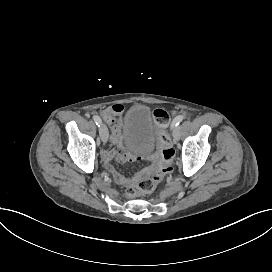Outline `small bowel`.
Here are the masks:
<instances>
[{
  "label": "small bowel",
  "mask_w": 272,
  "mask_h": 272,
  "mask_svg": "<svg viewBox=\"0 0 272 272\" xmlns=\"http://www.w3.org/2000/svg\"><path fill=\"white\" fill-rule=\"evenodd\" d=\"M123 111L124 107L122 105L115 104L107 107L103 113L104 121L110 127L111 137L109 141V147L107 150L103 151L102 158L104 161L105 169L113 175L116 183H118V174L120 172L115 168L113 161L117 162L118 164H125L140 159L138 154L128 153L125 151L122 133ZM143 158H150L153 161L158 159L154 155L147 156L146 154L143 155Z\"/></svg>",
  "instance_id": "c3829d8e"
}]
</instances>
